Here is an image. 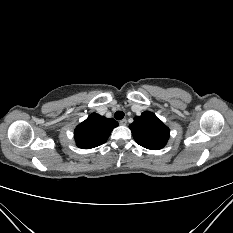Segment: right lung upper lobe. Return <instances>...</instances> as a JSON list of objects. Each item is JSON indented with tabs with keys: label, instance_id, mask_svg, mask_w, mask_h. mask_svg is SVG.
I'll use <instances>...</instances> for the list:
<instances>
[{
	"label": "right lung upper lobe",
	"instance_id": "cb5924a9",
	"mask_svg": "<svg viewBox=\"0 0 233 233\" xmlns=\"http://www.w3.org/2000/svg\"><path fill=\"white\" fill-rule=\"evenodd\" d=\"M118 126L112 118L92 113L80 123L74 131L76 145L82 149H90L105 143L111 131Z\"/></svg>",
	"mask_w": 233,
	"mask_h": 233
}]
</instances>
